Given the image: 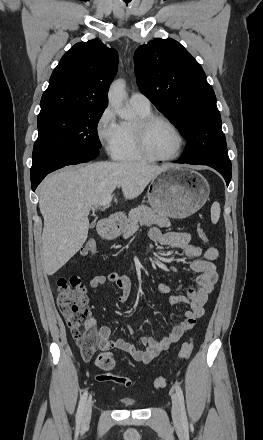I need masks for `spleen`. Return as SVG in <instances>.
<instances>
[{"label": "spleen", "mask_w": 263, "mask_h": 440, "mask_svg": "<svg viewBox=\"0 0 263 440\" xmlns=\"http://www.w3.org/2000/svg\"><path fill=\"white\" fill-rule=\"evenodd\" d=\"M220 204L219 202H214L211 206V221L213 224H216L220 218Z\"/></svg>", "instance_id": "3e777b00"}]
</instances>
